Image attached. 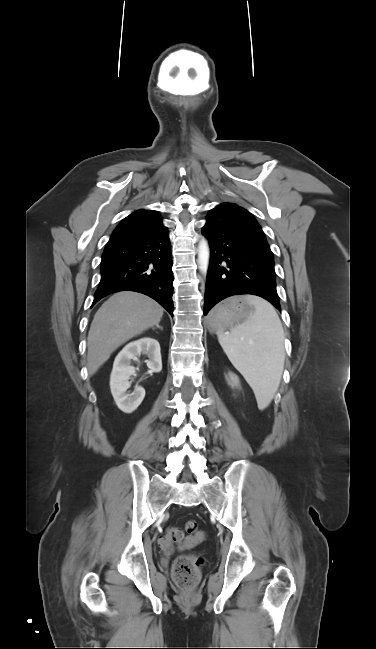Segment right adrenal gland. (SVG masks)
Here are the masks:
<instances>
[{
  "label": "right adrenal gland",
  "mask_w": 376,
  "mask_h": 649,
  "mask_svg": "<svg viewBox=\"0 0 376 649\" xmlns=\"http://www.w3.org/2000/svg\"><path fill=\"white\" fill-rule=\"evenodd\" d=\"M156 328H158V329H160V330H163V328H162V327H160V326H159L158 324L156 325ZM152 329L154 330V329H155V327H152Z\"/></svg>",
  "instance_id": "obj_1"
}]
</instances>
